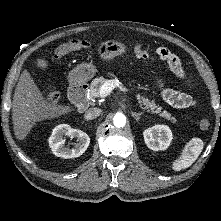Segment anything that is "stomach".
I'll list each match as a JSON object with an SVG mask.
<instances>
[{"label":"stomach","instance_id":"stomach-1","mask_svg":"<svg viewBox=\"0 0 221 221\" xmlns=\"http://www.w3.org/2000/svg\"><path fill=\"white\" fill-rule=\"evenodd\" d=\"M127 52V47L118 41L108 40L101 43L98 47V55L101 59L110 61L117 56H122ZM97 69L92 62L77 65L69 75L72 84H80L94 77Z\"/></svg>","mask_w":221,"mask_h":221}]
</instances>
